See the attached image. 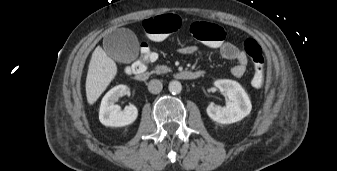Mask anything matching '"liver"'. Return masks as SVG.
<instances>
[{
  "label": "liver",
  "mask_w": 337,
  "mask_h": 171,
  "mask_svg": "<svg viewBox=\"0 0 337 171\" xmlns=\"http://www.w3.org/2000/svg\"><path fill=\"white\" fill-rule=\"evenodd\" d=\"M117 74L116 63L97 46L92 53L86 78V97L94 104Z\"/></svg>",
  "instance_id": "6515ba94"
}]
</instances>
